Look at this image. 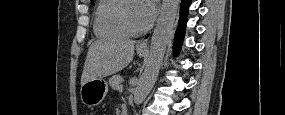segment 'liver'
Returning a JSON list of instances; mask_svg holds the SVG:
<instances>
[{
	"label": "liver",
	"mask_w": 285,
	"mask_h": 115,
	"mask_svg": "<svg viewBox=\"0 0 285 115\" xmlns=\"http://www.w3.org/2000/svg\"><path fill=\"white\" fill-rule=\"evenodd\" d=\"M134 40L100 39L90 46L85 60L81 85L89 80L103 79L124 69L134 56Z\"/></svg>",
	"instance_id": "6515ba94"
}]
</instances>
